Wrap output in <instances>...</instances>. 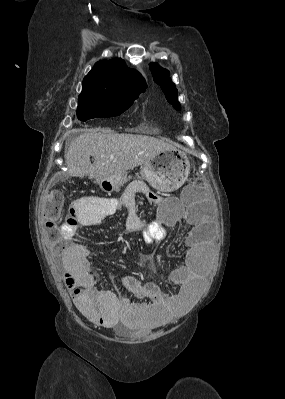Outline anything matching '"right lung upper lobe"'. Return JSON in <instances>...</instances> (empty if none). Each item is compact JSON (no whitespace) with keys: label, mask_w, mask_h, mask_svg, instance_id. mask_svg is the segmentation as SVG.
I'll return each instance as SVG.
<instances>
[{"label":"right lung upper lobe","mask_w":285,"mask_h":399,"mask_svg":"<svg viewBox=\"0 0 285 399\" xmlns=\"http://www.w3.org/2000/svg\"><path fill=\"white\" fill-rule=\"evenodd\" d=\"M146 82L137 71L126 67L121 59L101 60L83 79L79 98H109L144 92Z\"/></svg>","instance_id":"right-lung-upper-lobe-1"}]
</instances>
